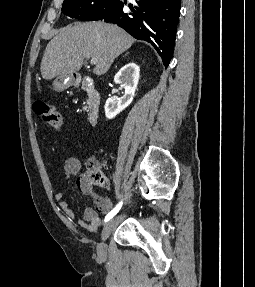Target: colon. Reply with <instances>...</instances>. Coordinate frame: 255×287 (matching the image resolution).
Returning a JSON list of instances; mask_svg holds the SVG:
<instances>
[{
  "mask_svg": "<svg viewBox=\"0 0 255 287\" xmlns=\"http://www.w3.org/2000/svg\"><path fill=\"white\" fill-rule=\"evenodd\" d=\"M33 109L49 127L55 130L61 128L62 117L52 105L38 100L34 103ZM87 180L97 186H104L107 182L105 175L95 163H90L88 166Z\"/></svg>",
  "mask_w": 255,
  "mask_h": 287,
  "instance_id": "1",
  "label": "colon"
}]
</instances>
